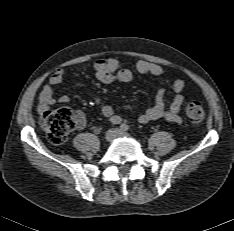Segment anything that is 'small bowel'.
I'll use <instances>...</instances> for the list:
<instances>
[{
  "label": "small bowel",
  "mask_w": 234,
  "mask_h": 231,
  "mask_svg": "<svg viewBox=\"0 0 234 231\" xmlns=\"http://www.w3.org/2000/svg\"><path fill=\"white\" fill-rule=\"evenodd\" d=\"M137 72L141 74H148L152 76H162L165 70L158 64L148 61H138L135 65ZM92 69L97 80L102 83L109 84L115 81L127 82L133 77V73L128 68H123L121 63L115 58H101L97 59L92 64ZM64 79V71L59 69L55 71L49 78L48 82L44 85L39 95V111L44 112L53 105L56 101L66 104L70 101L68 95H62L58 99L54 95V87L59 85ZM172 91L174 97L171 100L169 108H165L164 98L165 89L160 88L155 96V101L152 106L147 108L140 116V123H148L156 119H165L169 122L181 125L183 120L179 112L185 105L186 99L182 94L184 90V81L177 79L172 83ZM92 100L98 106L101 113L110 121L116 117L114 109L106 104L103 99L97 95H91ZM85 125V116L82 112L78 111L75 114V127L82 129Z\"/></svg>",
  "instance_id": "c3829d8e"
}]
</instances>
